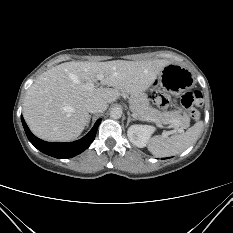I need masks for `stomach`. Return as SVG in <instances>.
Listing matches in <instances>:
<instances>
[{"label":"stomach","instance_id":"1","mask_svg":"<svg viewBox=\"0 0 233 233\" xmlns=\"http://www.w3.org/2000/svg\"><path fill=\"white\" fill-rule=\"evenodd\" d=\"M193 84L194 77L187 68L178 64L169 63L158 76L153 77V81L148 86H153L155 88L161 86L170 93L179 95L190 89ZM162 116L167 117L170 115Z\"/></svg>","mask_w":233,"mask_h":233}]
</instances>
